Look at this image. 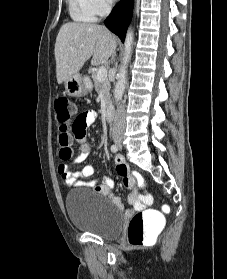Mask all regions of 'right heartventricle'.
<instances>
[{"mask_svg":"<svg viewBox=\"0 0 227 279\" xmlns=\"http://www.w3.org/2000/svg\"><path fill=\"white\" fill-rule=\"evenodd\" d=\"M69 11L73 20L79 22L94 21L96 15L88 5L87 0H68Z\"/></svg>","mask_w":227,"mask_h":279,"instance_id":"right-heart-ventricle-1","label":"right heart ventricle"}]
</instances>
